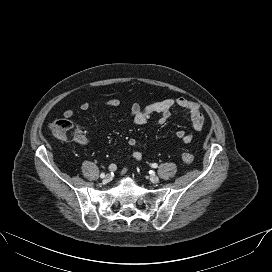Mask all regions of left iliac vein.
Here are the masks:
<instances>
[{
  "label": "left iliac vein",
  "instance_id": "left-iliac-vein-1",
  "mask_svg": "<svg viewBox=\"0 0 272 272\" xmlns=\"http://www.w3.org/2000/svg\"><path fill=\"white\" fill-rule=\"evenodd\" d=\"M150 181L154 184L158 183L159 182V177L156 176V175H151L150 176Z\"/></svg>",
  "mask_w": 272,
  "mask_h": 272
}]
</instances>
